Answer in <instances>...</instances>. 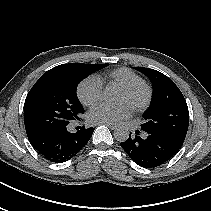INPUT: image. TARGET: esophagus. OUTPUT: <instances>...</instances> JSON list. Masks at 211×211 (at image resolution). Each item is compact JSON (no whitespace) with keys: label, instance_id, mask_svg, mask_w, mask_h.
Listing matches in <instances>:
<instances>
[{"label":"esophagus","instance_id":"obj_1","mask_svg":"<svg viewBox=\"0 0 211 211\" xmlns=\"http://www.w3.org/2000/svg\"><path fill=\"white\" fill-rule=\"evenodd\" d=\"M104 125H106L107 127H109L110 129L112 130H115L117 127L113 124H108V123H105Z\"/></svg>","mask_w":211,"mask_h":211}]
</instances>
